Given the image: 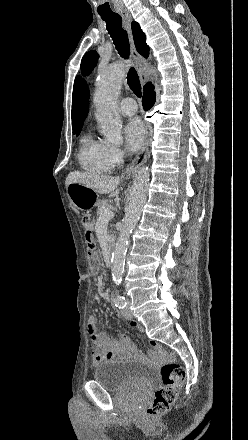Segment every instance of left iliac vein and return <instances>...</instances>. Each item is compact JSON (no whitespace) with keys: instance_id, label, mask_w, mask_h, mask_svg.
<instances>
[{"instance_id":"4c4485c4","label":"left iliac vein","mask_w":248,"mask_h":440,"mask_svg":"<svg viewBox=\"0 0 248 440\" xmlns=\"http://www.w3.org/2000/svg\"><path fill=\"white\" fill-rule=\"evenodd\" d=\"M130 305H131V302H130V300H128L127 306L122 310V313H121L122 316L126 319H131L133 317V313L130 309Z\"/></svg>"}]
</instances>
